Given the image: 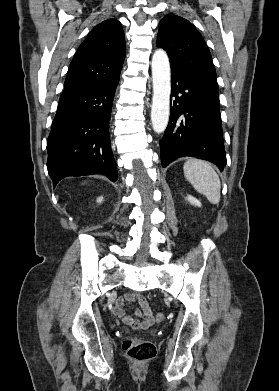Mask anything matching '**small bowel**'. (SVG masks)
<instances>
[{"label": "small bowel", "mask_w": 279, "mask_h": 391, "mask_svg": "<svg viewBox=\"0 0 279 391\" xmlns=\"http://www.w3.org/2000/svg\"><path fill=\"white\" fill-rule=\"evenodd\" d=\"M126 302H137L140 309L136 310V315L140 318H133L126 314L124 305ZM114 314L122 321L134 329H147L154 323L153 313L147 300L140 294L128 293L117 300L114 307Z\"/></svg>", "instance_id": "small-bowel-1"}]
</instances>
